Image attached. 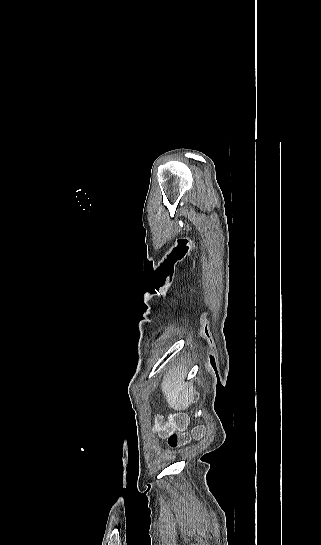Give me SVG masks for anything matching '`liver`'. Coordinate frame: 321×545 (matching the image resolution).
Segmentation results:
<instances>
[{"instance_id":"obj_1","label":"liver","mask_w":321,"mask_h":545,"mask_svg":"<svg viewBox=\"0 0 321 545\" xmlns=\"http://www.w3.org/2000/svg\"><path fill=\"white\" fill-rule=\"evenodd\" d=\"M185 375L184 367L170 369L162 383V391L167 397V403L174 411H185L194 401V387L188 383L183 385Z\"/></svg>"}]
</instances>
